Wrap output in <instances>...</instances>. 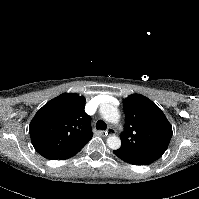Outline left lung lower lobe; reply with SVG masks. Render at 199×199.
I'll return each mask as SVG.
<instances>
[{
    "mask_svg": "<svg viewBox=\"0 0 199 199\" xmlns=\"http://www.w3.org/2000/svg\"><path fill=\"white\" fill-rule=\"evenodd\" d=\"M113 153L117 157H119L121 160H123L127 163H130V164H133V165H149L152 163L146 159L134 156L132 154H129V153H126V152H123L120 150H114Z\"/></svg>",
    "mask_w": 199,
    "mask_h": 199,
    "instance_id": "obj_1",
    "label": "left lung lower lobe"
}]
</instances>
